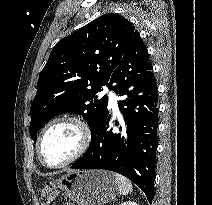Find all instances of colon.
<instances>
[{"instance_id": "1", "label": "colon", "mask_w": 212, "mask_h": 205, "mask_svg": "<svg viewBox=\"0 0 212 205\" xmlns=\"http://www.w3.org/2000/svg\"><path fill=\"white\" fill-rule=\"evenodd\" d=\"M58 191L54 183L49 182L41 190V202L43 205H49L57 198Z\"/></svg>"}]
</instances>
